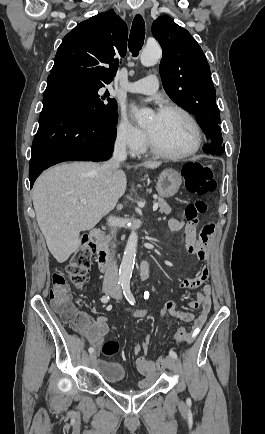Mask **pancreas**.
Segmentation results:
<instances>
[{
  "mask_svg": "<svg viewBox=\"0 0 265 434\" xmlns=\"http://www.w3.org/2000/svg\"><path fill=\"white\" fill-rule=\"evenodd\" d=\"M158 200V206L160 208L159 212H161V214H167V212H171V208L170 206H168V204H166L164 198H157Z\"/></svg>",
  "mask_w": 265,
  "mask_h": 434,
  "instance_id": "cf45deb5",
  "label": "pancreas"
}]
</instances>
